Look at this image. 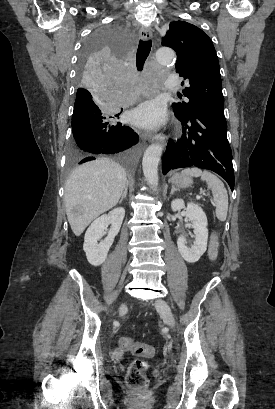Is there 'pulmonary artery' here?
<instances>
[{"instance_id": "pulmonary-artery-1", "label": "pulmonary artery", "mask_w": 275, "mask_h": 409, "mask_svg": "<svg viewBox=\"0 0 275 409\" xmlns=\"http://www.w3.org/2000/svg\"><path fill=\"white\" fill-rule=\"evenodd\" d=\"M170 79L166 80L167 88H178L179 87V76L176 73H171L169 75Z\"/></svg>"}]
</instances>
